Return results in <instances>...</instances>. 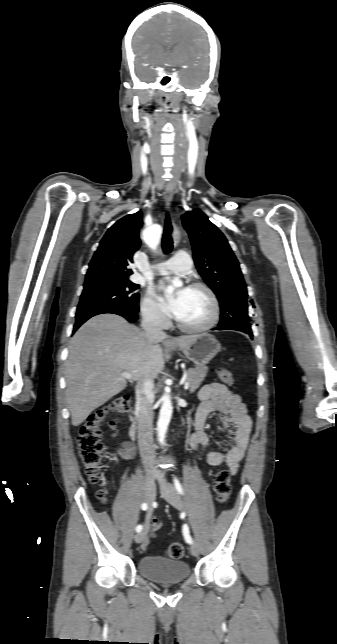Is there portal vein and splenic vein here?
I'll list each match as a JSON object with an SVG mask.
<instances>
[{
	"mask_svg": "<svg viewBox=\"0 0 337 644\" xmlns=\"http://www.w3.org/2000/svg\"><path fill=\"white\" fill-rule=\"evenodd\" d=\"M122 376H123L124 378H127V379H131V377H132V376H131V374H130V373H127V372H123V373H122ZM184 388H185V389H188V388H189V382H187V381H186V382L184 383Z\"/></svg>",
	"mask_w": 337,
	"mask_h": 644,
	"instance_id": "18ae733b",
	"label": "portal vein and splenic vein"
}]
</instances>
